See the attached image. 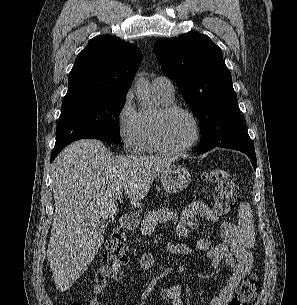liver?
Returning a JSON list of instances; mask_svg holds the SVG:
<instances>
[{"label":"liver","mask_w":297,"mask_h":305,"mask_svg":"<svg viewBox=\"0 0 297 305\" xmlns=\"http://www.w3.org/2000/svg\"><path fill=\"white\" fill-rule=\"evenodd\" d=\"M173 158L112 155L102 142L75 141L52 165L55 212L47 258L56 288L65 292L88 269L104 237L96 229L117 212L116 193L141 206L154 179Z\"/></svg>","instance_id":"obj_1"}]
</instances>
